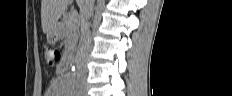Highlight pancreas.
Segmentation results:
<instances>
[{
  "instance_id": "1",
  "label": "pancreas",
  "mask_w": 232,
  "mask_h": 96,
  "mask_svg": "<svg viewBox=\"0 0 232 96\" xmlns=\"http://www.w3.org/2000/svg\"><path fill=\"white\" fill-rule=\"evenodd\" d=\"M61 37L65 43V53L72 51L79 37V21L71 18L70 14L64 15L60 24Z\"/></svg>"
}]
</instances>
